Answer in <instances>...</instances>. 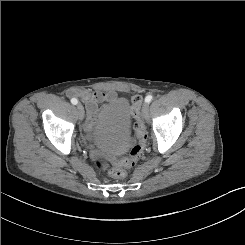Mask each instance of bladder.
Listing matches in <instances>:
<instances>
[{
  "label": "bladder",
  "mask_w": 245,
  "mask_h": 245,
  "mask_svg": "<svg viewBox=\"0 0 245 245\" xmlns=\"http://www.w3.org/2000/svg\"><path fill=\"white\" fill-rule=\"evenodd\" d=\"M130 121V107L125 99L101 109L90 123L95 145L110 153L120 152L127 142Z\"/></svg>",
  "instance_id": "obj_1"
}]
</instances>
